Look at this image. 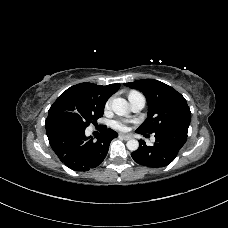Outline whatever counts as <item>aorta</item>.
Listing matches in <instances>:
<instances>
[{"label": "aorta", "instance_id": "aorta-1", "mask_svg": "<svg viewBox=\"0 0 228 228\" xmlns=\"http://www.w3.org/2000/svg\"><path fill=\"white\" fill-rule=\"evenodd\" d=\"M111 108L115 114L124 116L129 111V104L123 98H114L111 102ZM126 146L130 151H136L139 147V142L135 139H131L127 141Z\"/></svg>", "mask_w": 228, "mask_h": 228}]
</instances>
